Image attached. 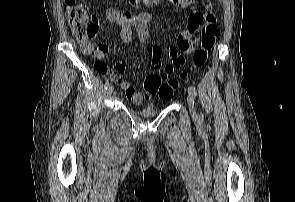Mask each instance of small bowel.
<instances>
[{
  "instance_id": "small-bowel-1",
  "label": "small bowel",
  "mask_w": 295,
  "mask_h": 202,
  "mask_svg": "<svg viewBox=\"0 0 295 202\" xmlns=\"http://www.w3.org/2000/svg\"><path fill=\"white\" fill-rule=\"evenodd\" d=\"M180 6H188L191 0H177ZM204 12H201L197 8H193L188 19L187 30L181 32L177 38V45L174 47H169L165 54L168 58V63L161 68L162 57L164 55V50L159 45H153L149 48V55L152 59V65L155 68H160V74L167 77L171 75L174 67L180 64V51L186 53L191 52L194 49V42L191 38V34L194 33L200 26L206 25L210 22L215 23L216 18L213 12V4L211 0L204 1ZM107 19L110 23L117 24L121 27V38L122 40L129 44L132 40V27L134 26L137 30L138 37L141 41H146L149 37L148 26L152 19L149 13L134 14L129 10H123L120 8H109L106 11ZM94 21L98 26V17L92 15ZM99 28V26H98ZM86 53H93L98 59H103L108 53V47L104 44L93 45L89 44L81 47ZM109 73L106 71L103 63H98L96 69L98 72L103 73L107 76V79L111 82L119 83L121 88L126 92L127 97L135 104L142 103L152 98L155 94L152 90H142L135 91L129 82L122 81L120 79V72H124L125 64L113 63ZM148 75L146 79L149 77Z\"/></svg>"
}]
</instances>
